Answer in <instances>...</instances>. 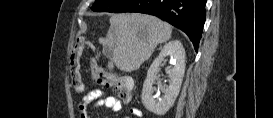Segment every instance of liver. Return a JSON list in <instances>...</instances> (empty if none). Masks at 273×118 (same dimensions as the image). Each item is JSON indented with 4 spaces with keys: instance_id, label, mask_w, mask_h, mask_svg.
Returning <instances> with one entry per match:
<instances>
[{
    "instance_id": "1",
    "label": "liver",
    "mask_w": 273,
    "mask_h": 118,
    "mask_svg": "<svg viewBox=\"0 0 273 118\" xmlns=\"http://www.w3.org/2000/svg\"><path fill=\"white\" fill-rule=\"evenodd\" d=\"M171 33L172 27L155 16L140 13L112 15L105 38V44L113 46L108 68L111 70L115 65L125 72L137 70L158 44L170 39Z\"/></svg>"
}]
</instances>
